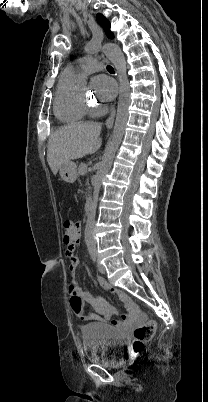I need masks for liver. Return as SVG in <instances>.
<instances>
[{
	"mask_svg": "<svg viewBox=\"0 0 208 402\" xmlns=\"http://www.w3.org/2000/svg\"><path fill=\"white\" fill-rule=\"evenodd\" d=\"M100 132L101 126L97 122H75L56 130L47 150V162L54 176L62 164L97 152L102 144Z\"/></svg>",
	"mask_w": 208,
	"mask_h": 402,
	"instance_id": "1",
	"label": "liver"
}]
</instances>
